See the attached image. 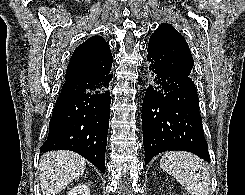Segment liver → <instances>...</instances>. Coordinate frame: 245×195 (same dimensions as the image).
Listing matches in <instances>:
<instances>
[{
	"mask_svg": "<svg viewBox=\"0 0 245 195\" xmlns=\"http://www.w3.org/2000/svg\"><path fill=\"white\" fill-rule=\"evenodd\" d=\"M86 168V160L66 150L51 151L40 158V186L42 195H56L65 189Z\"/></svg>",
	"mask_w": 245,
	"mask_h": 195,
	"instance_id": "liver-1",
	"label": "liver"
}]
</instances>
